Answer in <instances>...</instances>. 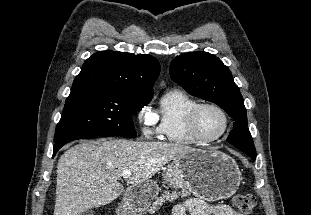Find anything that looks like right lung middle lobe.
Listing matches in <instances>:
<instances>
[{"label": "right lung middle lobe", "mask_w": 311, "mask_h": 215, "mask_svg": "<svg viewBox=\"0 0 311 215\" xmlns=\"http://www.w3.org/2000/svg\"><path fill=\"white\" fill-rule=\"evenodd\" d=\"M151 98L95 87L72 88L56 127L54 142L114 135L136 137L131 115Z\"/></svg>", "instance_id": "obj_1"}]
</instances>
